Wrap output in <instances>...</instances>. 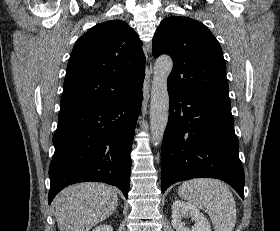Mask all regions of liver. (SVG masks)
<instances>
[{
	"instance_id": "obj_1",
	"label": "liver",
	"mask_w": 280,
	"mask_h": 231,
	"mask_svg": "<svg viewBox=\"0 0 280 231\" xmlns=\"http://www.w3.org/2000/svg\"><path fill=\"white\" fill-rule=\"evenodd\" d=\"M60 231H89L114 213L118 205L116 187L105 183H75L62 189L53 201Z\"/></svg>"
}]
</instances>
